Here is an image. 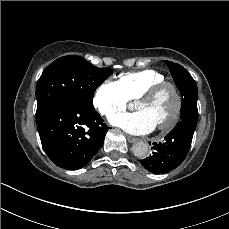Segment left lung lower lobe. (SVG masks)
<instances>
[{
  "instance_id": "1",
  "label": "left lung lower lobe",
  "mask_w": 229,
  "mask_h": 229,
  "mask_svg": "<svg viewBox=\"0 0 229 229\" xmlns=\"http://www.w3.org/2000/svg\"><path fill=\"white\" fill-rule=\"evenodd\" d=\"M181 111L185 121L178 122L162 143H153V154L140 161L153 174L177 168L189 151L198 119L197 96L183 98Z\"/></svg>"
}]
</instances>
